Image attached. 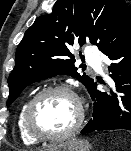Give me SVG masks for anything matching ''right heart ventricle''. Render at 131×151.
<instances>
[{"instance_id":"obj_1","label":"right heart ventricle","mask_w":131,"mask_h":151,"mask_svg":"<svg viewBox=\"0 0 131 151\" xmlns=\"http://www.w3.org/2000/svg\"><path fill=\"white\" fill-rule=\"evenodd\" d=\"M28 101H25L18 113V118H17V128H18V132H19V136L21 138V140L27 144V145H31V144H35L37 141L32 139L26 132L25 128H24V124H23V115H24V111L25 108L27 106Z\"/></svg>"}]
</instances>
